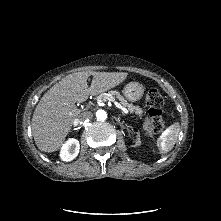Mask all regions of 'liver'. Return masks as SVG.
<instances>
[{
	"instance_id": "6515ba94",
	"label": "liver",
	"mask_w": 221,
	"mask_h": 221,
	"mask_svg": "<svg viewBox=\"0 0 221 221\" xmlns=\"http://www.w3.org/2000/svg\"><path fill=\"white\" fill-rule=\"evenodd\" d=\"M93 80L88 87L87 79ZM125 72H76L63 78L41 98L32 117V134L37 147L44 152H55L63 145L82 103L89 95H98L122 83Z\"/></svg>"
}]
</instances>
